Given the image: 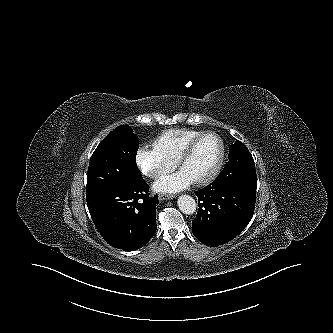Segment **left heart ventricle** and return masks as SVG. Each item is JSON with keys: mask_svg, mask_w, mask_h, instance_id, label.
I'll use <instances>...</instances> for the list:
<instances>
[{"mask_svg": "<svg viewBox=\"0 0 333 333\" xmlns=\"http://www.w3.org/2000/svg\"><path fill=\"white\" fill-rule=\"evenodd\" d=\"M220 153L218 140L213 136L202 139L190 157L182 164L181 170L192 181L205 177L214 167Z\"/></svg>", "mask_w": 333, "mask_h": 333, "instance_id": "1", "label": "left heart ventricle"}]
</instances>
